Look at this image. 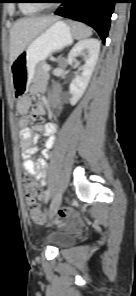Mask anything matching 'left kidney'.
I'll return each mask as SVG.
<instances>
[{
	"instance_id": "left-kidney-1",
	"label": "left kidney",
	"mask_w": 136,
	"mask_h": 296,
	"mask_svg": "<svg viewBox=\"0 0 136 296\" xmlns=\"http://www.w3.org/2000/svg\"><path fill=\"white\" fill-rule=\"evenodd\" d=\"M99 51L100 42L95 38H90L78 41L69 52L67 59L69 65L74 63L80 53L86 54L85 64L79 68L81 73L74 78L69 87L71 105H75L85 92L98 60Z\"/></svg>"
}]
</instances>
